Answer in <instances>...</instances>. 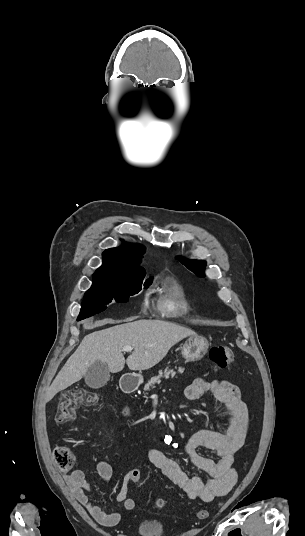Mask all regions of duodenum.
Masks as SVG:
<instances>
[{
	"instance_id": "obj_1",
	"label": "duodenum",
	"mask_w": 305,
	"mask_h": 536,
	"mask_svg": "<svg viewBox=\"0 0 305 536\" xmlns=\"http://www.w3.org/2000/svg\"><path fill=\"white\" fill-rule=\"evenodd\" d=\"M140 385V379L136 376L124 375L121 378L120 387L125 393L134 392ZM128 411H126L127 413Z\"/></svg>"
}]
</instances>
